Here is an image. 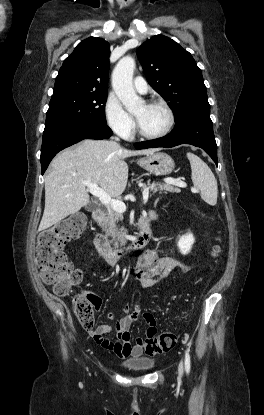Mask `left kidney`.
<instances>
[{"label":"left kidney","instance_id":"left-kidney-1","mask_svg":"<svg viewBox=\"0 0 264 415\" xmlns=\"http://www.w3.org/2000/svg\"><path fill=\"white\" fill-rule=\"evenodd\" d=\"M194 241H195V238L192 233H187L185 235H182L177 242V246L180 252L183 255L188 254L192 248V245L194 244Z\"/></svg>","mask_w":264,"mask_h":415}]
</instances>
